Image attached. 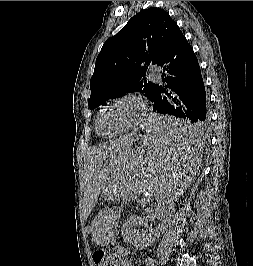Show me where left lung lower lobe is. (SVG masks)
I'll return each mask as SVG.
<instances>
[{
  "label": "left lung lower lobe",
  "mask_w": 253,
  "mask_h": 266,
  "mask_svg": "<svg viewBox=\"0 0 253 266\" xmlns=\"http://www.w3.org/2000/svg\"><path fill=\"white\" fill-rule=\"evenodd\" d=\"M157 65L162 68L165 85L155 84L153 112L182 120L177 125L154 126L153 132L172 141L197 140L195 137L202 136L210 122L205 86L196 55L178 25Z\"/></svg>",
  "instance_id": "1"
}]
</instances>
